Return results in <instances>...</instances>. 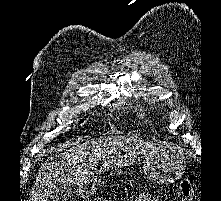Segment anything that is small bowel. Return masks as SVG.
Instances as JSON below:
<instances>
[{
    "instance_id": "small-bowel-1",
    "label": "small bowel",
    "mask_w": 221,
    "mask_h": 201,
    "mask_svg": "<svg viewBox=\"0 0 221 201\" xmlns=\"http://www.w3.org/2000/svg\"><path fill=\"white\" fill-rule=\"evenodd\" d=\"M134 201H158L157 199L151 197L148 194H140Z\"/></svg>"
}]
</instances>
